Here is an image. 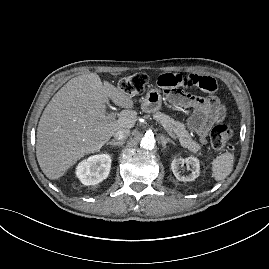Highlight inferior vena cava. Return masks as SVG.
Here are the masks:
<instances>
[{"instance_id": "1", "label": "inferior vena cava", "mask_w": 269, "mask_h": 269, "mask_svg": "<svg viewBox=\"0 0 269 269\" xmlns=\"http://www.w3.org/2000/svg\"><path fill=\"white\" fill-rule=\"evenodd\" d=\"M129 135H130V130H129V129H120V130H117V131L114 133V138H115L116 140H124V139H126Z\"/></svg>"}]
</instances>
